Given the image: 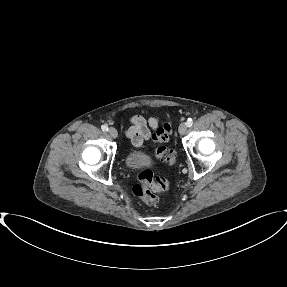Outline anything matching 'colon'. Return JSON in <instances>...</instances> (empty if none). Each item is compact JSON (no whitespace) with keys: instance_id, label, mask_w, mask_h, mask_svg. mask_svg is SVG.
<instances>
[{"instance_id":"1","label":"colon","mask_w":287,"mask_h":287,"mask_svg":"<svg viewBox=\"0 0 287 287\" xmlns=\"http://www.w3.org/2000/svg\"><path fill=\"white\" fill-rule=\"evenodd\" d=\"M172 133V124L165 122L153 134V140L159 144L155 150L156 158L168 165H173L176 161L174 150L167 148L163 144L169 140ZM138 182L132 187L133 195L146 204H155L158 201V193L165 192L169 188L168 180L163 176H153L150 169L145 168L139 171Z\"/></svg>"}]
</instances>
